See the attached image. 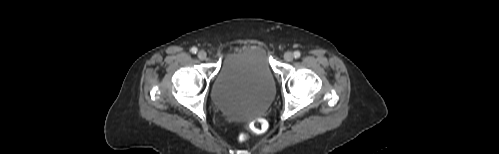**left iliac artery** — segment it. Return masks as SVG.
<instances>
[{
	"label": "left iliac artery",
	"instance_id": "left-iliac-artery-1",
	"mask_svg": "<svg viewBox=\"0 0 499 154\" xmlns=\"http://www.w3.org/2000/svg\"><path fill=\"white\" fill-rule=\"evenodd\" d=\"M300 55H301V54H300V52H299V51H295V52H294V57H295V58H299V57H300Z\"/></svg>",
	"mask_w": 499,
	"mask_h": 154
}]
</instances>
